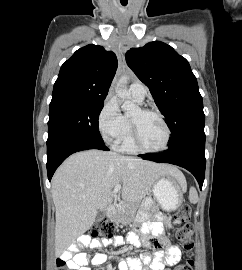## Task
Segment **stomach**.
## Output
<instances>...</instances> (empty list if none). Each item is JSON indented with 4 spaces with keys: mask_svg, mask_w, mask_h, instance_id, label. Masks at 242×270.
<instances>
[{
    "mask_svg": "<svg viewBox=\"0 0 242 270\" xmlns=\"http://www.w3.org/2000/svg\"><path fill=\"white\" fill-rule=\"evenodd\" d=\"M186 189V183L172 176H163L153 185V195L165 211H173L182 203V195Z\"/></svg>",
    "mask_w": 242,
    "mask_h": 270,
    "instance_id": "obj_1",
    "label": "stomach"
}]
</instances>
